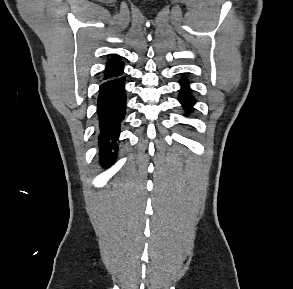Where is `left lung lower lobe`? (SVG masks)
Masks as SVG:
<instances>
[{
    "label": "left lung lower lobe",
    "instance_id": "0a47b994",
    "mask_svg": "<svg viewBox=\"0 0 293 289\" xmlns=\"http://www.w3.org/2000/svg\"><path fill=\"white\" fill-rule=\"evenodd\" d=\"M182 89L180 90L179 101L188 111L192 110V106L195 103L194 98L191 95V90L188 87V82L186 79H183L181 82Z\"/></svg>",
    "mask_w": 293,
    "mask_h": 289
}]
</instances>
